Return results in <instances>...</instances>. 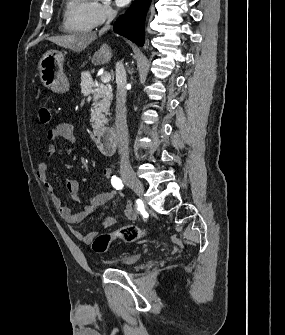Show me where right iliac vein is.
I'll list each match as a JSON object with an SVG mask.
<instances>
[{
	"instance_id": "1",
	"label": "right iliac vein",
	"mask_w": 285,
	"mask_h": 335,
	"mask_svg": "<svg viewBox=\"0 0 285 335\" xmlns=\"http://www.w3.org/2000/svg\"><path fill=\"white\" fill-rule=\"evenodd\" d=\"M121 174L128 187H130L140 196L144 194V188L140 180L135 176L134 172L131 169L122 168Z\"/></svg>"
}]
</instances>
